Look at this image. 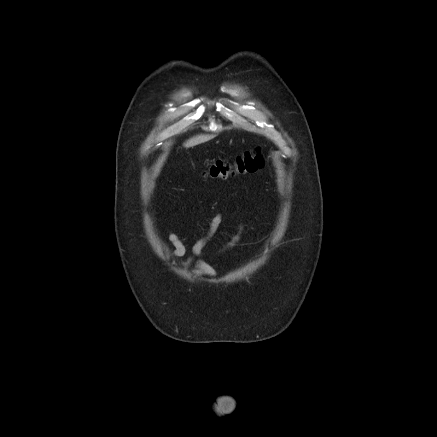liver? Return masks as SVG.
Returning <instances> with one entry per match:
<instances>
[{
    "label": "liver",
    "mask_w": 437,
    "mask_h": 437,
    "mask_svg": "<svg viewBox=\"0 0 437 437\" xmlns=\"http://www.w3.org/2000/svg\"><path fill=\"white\" fill-rule=\"evenodd\" d=\"M214 137H215V135L200 134V135L194 136V137L190 138L189 140H187L183 144V146L185 148L194 147L196 145L208 142L209 140L213 139Z\"/></svg>",
    "instance_id": "1"
}]
</instances>
